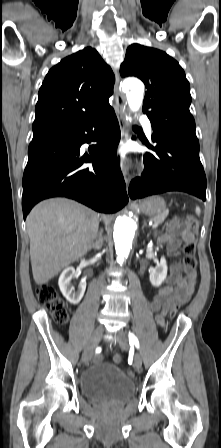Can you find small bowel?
<instances>
[{
	"instance_id": "small-bowel-1",
	"label": "small bowel",
	"mask_w": 221,
	"mask_h": 448,
	"mask_svg": "<svg viewBox=\"0 0 221 448\" xmlns=\"http://www.w3.org/2000/svg\"><path fill=\"white\" fill-rule=\"evenodd\" d=\"M158 239L166 244L169 254H174L183 243L193 237L182 232L175 223H171ZM197 283L196 270L187 271L178 261L172 264L169 283L158 290L148 305L150 311L155 313L158 324L164 325V318L172 309L183 306L190 300Z\"/></svg>"
}]
</instances>
